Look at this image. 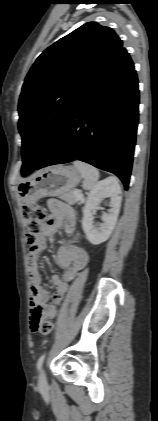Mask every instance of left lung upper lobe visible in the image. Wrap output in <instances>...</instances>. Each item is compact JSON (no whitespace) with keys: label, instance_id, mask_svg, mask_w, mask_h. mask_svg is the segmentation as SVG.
Masks as SVG:
<instances>
[{"label":"left lung upper lobe","instance_id":"1","mask_svg":"<svg viewBox=\"0 0 158 421\" xmlns=\"http://www.w3.org/2000/svg\"><path fill=\"white\" fill-rule=\"evenodd\" d=\"M121 47L113 29L88 22L37 58L18 105L22 174L41 163L71 109Z\"/></svg>","mask_w":158,"mask_h":421}]
</instances>
